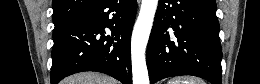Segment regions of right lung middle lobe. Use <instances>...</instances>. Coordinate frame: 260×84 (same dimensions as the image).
<instances>
[{"instance_id": "1", "label": "right lung middle lobe", "mask_w": 260, "mask_h": 84, "mask_svg": "<svg viewBox=\"0 0 260 84\" xmlns=\"http://www.w3.org/2000/svg\"><path fill=\"white\" fill-rule=\"evenodd\" d=\"M60 28H55V30L54 31H56V30H59Z\"/></svg>"}]
</instances>
